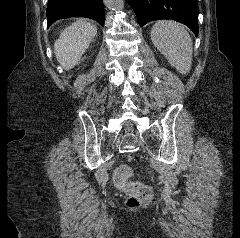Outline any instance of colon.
Masks as SVG:
<instances>
[{"label":"colon","instance_id":"5ec220e1","mask_svg":"<svg viewBox=\"0 0 240 238\" xmlns=\"http://www.w3.org/2000/svg\"><path fill=\"white\" fill-rule=\"evenodd\" d=\"M132 175V169L127 165L119 166L114 173V183L127 196V204L135 207L150 202L153 196L151 188L133 181Z\"/></svg>","mask_w":240,"mask_h":238}]
</instances>
